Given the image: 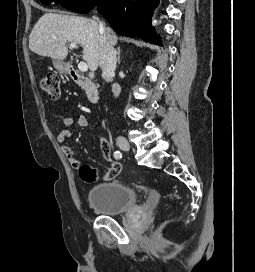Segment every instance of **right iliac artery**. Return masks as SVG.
Instances as JSON below:
<instances>
[{
	"instance_id": "obj_1",
	"label": "right iliac artery",
	"mask_w": 255,
	"mask_h": 272,
	"mask_svg": "<svg viewBox=\"0 0 255 272\" xmlns=\"http://www.w3.org/2000/svg\"><path fill=\"white\" fill-rule=\"evenodd\" d=\"M114 157H115V159H120V158L122 157L121 152L115 151V152H114Z\"/></svg>"
}]
</instances>
